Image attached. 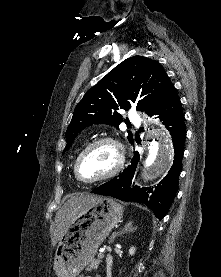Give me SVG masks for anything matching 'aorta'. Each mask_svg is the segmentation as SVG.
I'll return each instance as SVG.
<instances>
[{"label": "aorta", "instance_id": "1", "mask_svg": "<svg viewBox=\"0 0 221 277\" xmlns=\"http://www.w3.org/2000/svg\"><path fill=\"white\" fill-rule=\"evenodd\" d=\"M148 156L144 163V181H151L169 170L173 162V145L169 132L160 130L157 139L150 141Z\"/></svg>", "mask_w": 221, "mask_h": 277}]
</instances>
